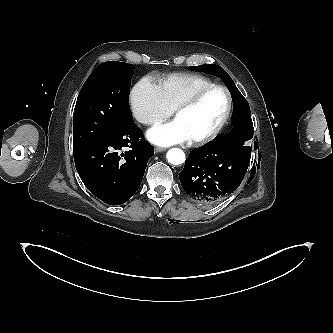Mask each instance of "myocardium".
<instances>
[{"mask_svg": "<svg viewBox=\"0 0 333 333\" xmlns=\"http://www.w3.org/2000/svg\"><path fill=\"white\" fill-rule=\"evenodd\" d=\"M216 89H220V90L224 91L226 94L227 108H226L225 114H224L223 118L221 119V121L219 122V124L211 132H209L208 134H206L202 137H199V138H196L193 140H189V142L192 146L205 145V144L213 141L220 135V133L223 131V129L227 125V123L231 117V114H232V110H233L232 94H231L230 90L224 85L211 84V85H208V86H205V87L199 89L192 96H190L185 101L180 103L174 110V117L176 118L180 113L196 106L207 93H209L212 90H216Z\"/></svg>", "mask_w": 333, "mask_h": 333, "instance_id": "myocardium-1", "label": "myocardium"}]
</instances>
